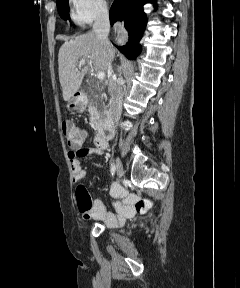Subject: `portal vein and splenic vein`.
Here are the masks:
<instances>
[{
    "label": "portal vein and splenic vein",
    "mask_w": 240,
    "mask_h": 288,
    "mask_svg": "<svg viewBox=\"0 0 240 288\" xmlns=\"http://www.w3.org/2000/svg\"><path fill=\"white\" fill-rule=\"evenodd\" d=\"M83 65H85V60H81V61H80L79 67H82ZM97 78H98L100 81L104 80V78H105V73H104V72H98V73H97Z\"/></svg>",
    "instance_id": "portal-vein-and-splenic-vein-1"
}]
</instances>
